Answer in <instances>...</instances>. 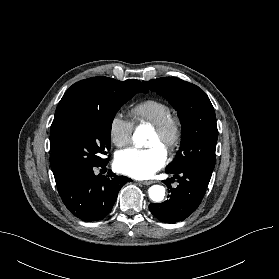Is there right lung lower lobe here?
Segmentation results:
<instances>
[{"instance_id":"1","label":"right lung lower lobe","mask_w":279,"mask_h":279,"mask_svg":"<svg viewBox=\"0 0 279 279\" xmlns=\"http://www.w3.org/2000/svg\"><path fill=\"white\" fill-rule=\"evenodd\" d=\"M106 165L96 167L104 168ZM94 170V166L85 167L57 183L59 195L67 209L87 222L101 220L108 215L121 187L131 181L114 173L110 176L95 175Z\"/></svg>"}]
</instances>
